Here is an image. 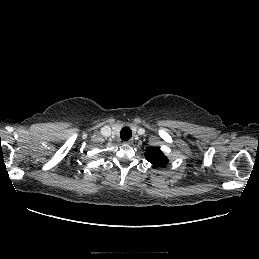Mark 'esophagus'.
<instances>
[{
	"label": "esophagus",
	"instance_id": "obj_1",
	"mask_svg": "<svg viewBox=\"0 0 259 259\" xmlns=\"http://www.w3.org/2000/svg\"><path fill=\"white\" fill-rule=\"evenodd\" d=\"M127 144H132L133 143V139H130L126 142Z\"/></svg>",
	"mask_w": 259,
	"mask_h": 259
}]
</instances>
